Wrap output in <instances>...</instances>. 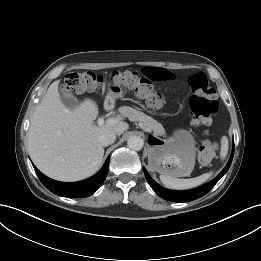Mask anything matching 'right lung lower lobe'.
<instances>
[{
    "instance_id": "obj_1",
    "label": "right lung lower lobe",
    "mask_w": 261,
    "mask_h": 261,
    "mask_svg": "<svg viewBox=\"0 0 261 261\" xmlns=\"http://www.w3.org/2000/svg\"><path fill=\"white\" fill-rule=\"evenodd\" d=\"M33 167L42 184L54 194L68 198H84L92 195L103 184L109 169V157L95 176L73 183L52 180L43 175L34 165Z\"/></svg>"
}]
</instances>
